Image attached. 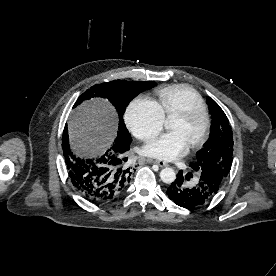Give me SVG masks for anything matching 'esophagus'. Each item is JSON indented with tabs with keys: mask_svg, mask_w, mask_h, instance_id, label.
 Masks as SVG:
<instances>
[{
	"mask_svg": "<svg viewBox=\"0 0 276 276\" xmlns=\"http://www.w3.org/2000/svg\"><path fill=\"white\" fill-rule=\"evenodd\" d=\"M147 162L155 163V164L159 165L160 167H167V166H169V164L167 162L159 161V160L148 159Z\"/></svg>",
	"mask_w": 276,
	"mask_h": 276,
	"instance_id": "esophagus-1",
	"label": "esophagus"
}]
</instances>
